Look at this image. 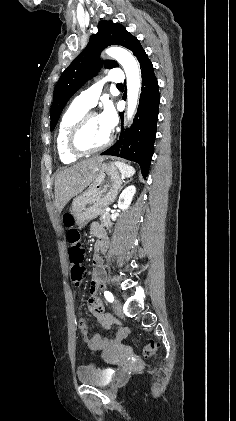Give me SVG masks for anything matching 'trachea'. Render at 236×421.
Masks as SVG:
<instances>
[{"label": "trachea", "instance_id": "obj_1", "mask_svg": "<svg viewBox=\"0 0 236 421\" xmlns=\"http://www.w3.org/2000/svg\"><path fill=\"white\" fill-rule=\"evenodd\" d=\"M117 87H121V86H123V84L122 83H117V85H116Z\"/></svg>", "mask_w": 236, "mask_h": 421}]
</instances>
